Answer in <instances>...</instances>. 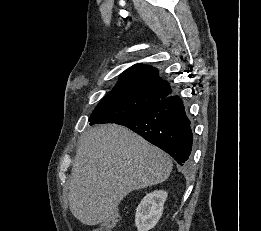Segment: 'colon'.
<instances>
[{
    "mask_svg": "<svg viewBox=\"0 0 261 231\" xmlns=\"http://www.w3.org/2000/svg\"><path fill=\"white\" fill-rule=\"evenodd\" d=\"M119 218V212L117 209H114L110 212L107 219L104 220L101 224L97 225L92 229V231H112L114 224Z\"/></svg>",
    "mask_w": 261,
    "mask_h": 231,
    "instance_id": "colon-1",
    "label": "colon"
}]
</instances>
